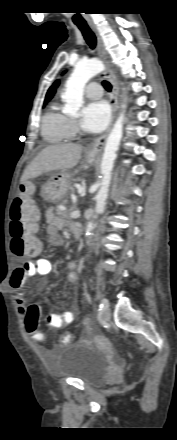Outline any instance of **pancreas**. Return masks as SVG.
Masks as SVG:
<instances>
[{"label":"pancreas","mask_w":177,"mask_h":440,"mask_svg":"<svg viewBox=\"0 0 177 440\" xmlns=\"http://www.w3.org/2000/svg\"><path fill=\"white\" fill-rule=\"evenodd\" d=\"M69 212H70V211H66V210H62V209H60V207H58V208L56 209V214H57L58 216L62 217V218H66V219H69V218H70V216H69Z\"/></svg>","instance_id":"cf45deb5"}]
</instances>
